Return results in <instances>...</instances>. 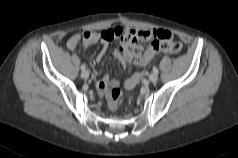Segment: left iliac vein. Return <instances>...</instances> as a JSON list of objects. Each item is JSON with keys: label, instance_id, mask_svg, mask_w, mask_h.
<instances>
[{"label": "left iliac vein", "instance_id": "1", "mask_svg": "<svg viewBox=\"0 0 238 158\" xmlns=\"http://www.w3.org/2000/svg\"><path fill=\"white\" fill-rule=\"evenodd\" d=\"M149 80L151 82H156L158 80V74L157 73H151L150 76H149Z\"/></svg>", "mask_w": 238, "mask_h": 158}]
</instances>
